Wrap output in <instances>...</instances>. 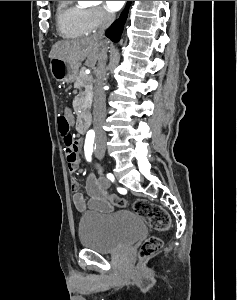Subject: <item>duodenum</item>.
<instances>
[{
    "label": "duodenum",
    "mask_w": 237,
    "mask_h": 300,
    "mask_svg": "<svg viewBox=\"0 0 237 300\" xmlns=\"http://www.w3.org/2000/svg\"><path fill=\"white\" fill-rule=\"evenodd\" d=\"M89 126L88 118L85 116H81L77 122V131L80 134H85L87 132Z\"/></svg>",
    "instance_id": "1"
}]
</instances>
